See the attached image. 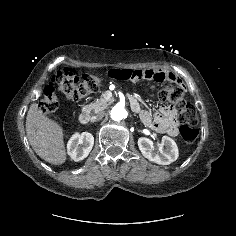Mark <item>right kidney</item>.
<instances>
[{
    "label": "right kidney",
    "instance_id": "1",
    "mask_svg": "<svg viewBox=\"0 0 236 236\" xmlns=\"http://www.w3.org/2000/svg\"><path fill=\"white\" fill-rule=\"evenodd\" d=\"M93 145L94 137L91 133H75L68 141L67 152L71 159L78 162L85 159L89 155Z\"/></svg>",
    "mask_w": 236,
    "mask_h": 236
}]
</instances>
